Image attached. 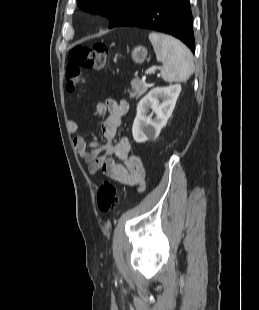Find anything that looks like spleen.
I'll return each mask as SVG.
<instances>
[{
	"label": "spleen",
	"mask_w": 259,
	"mask_h": 310,
	"mask_svg": "<svg viewBox=\"0 0 259 310\" xmlns=\"http://www.w3.org/2000/svg\"><path fill=\"white\" fill-rule=\"evenodd\" d=\"M157 61L162 62L161 76L167 82H185L193 74V57L190 50L172 36L149 34Z\"/></svg>",
	"instance_id": "spleen-1"
}]
</instances>
